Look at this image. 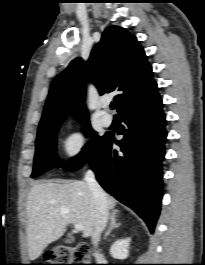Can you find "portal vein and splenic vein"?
Segmentation results:
<instances>
[{
    "label": "portal vein and splenic vein",
    "instance_id": "18ae733b",
    "mask_svg": "<svg viewBox=\"0 0 205 265\" xmlns=\"http://www.w3.org/2000/svg\"><path fill=\"white\" fill-rule=\"evenodd\" d=\"M74 229H75V231H82L83 230V226L81 224H75L74 225Z\"/></svg>",
    "mask_w": 205,
    "mask_h": 265
}]
</instances>
